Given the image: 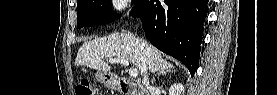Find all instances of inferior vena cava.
I'll use <instances>...</instances> for the list:
<instances>
[{"mask_svg": "<svg viewBox=\"0 0 277 95\" xmlns=\"http://www.w3.org/2000/svg\"><path fill=\"white\" fill-rule=\"evenodd\" d=\"M147 63L146 60L143 58L142 60V66H141V74L143 76L142 78V84L143 86L147 89L150 90V85H149V79H148V74H147Z\"/></svg>", "mask_w": 277, "mask_h": 95, "instance_id": "602c4592", "label": "inferior vena cava"}]
</instances>
